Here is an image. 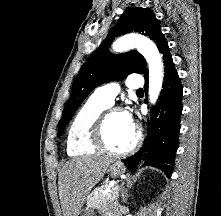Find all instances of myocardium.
I'll use <instances>...</instances> for the list:
<instances>
[{
    "instance_id": "1",
    "label": "myocardium",
    "mask_w": 221,
    "mask_h": 216,
    "mask_svg": "<svg viewBox=\"0 0 221 216\" xmlns=\"http://www.w3.org/2000/svg\"><path fill=\"white\" fill-rule=\"evenodd\" d=\"M120 108H109L106 111H103L98 121L95 124L93 130V143L96 148L104 153H107L111 156H124L133 152L141 143V133L140 131H135L134 139L132 143L124 149L116 150L111 147L106 142L105 139V127L109 117L115 113H122Z\"/></svg>"
}]
</instances>
